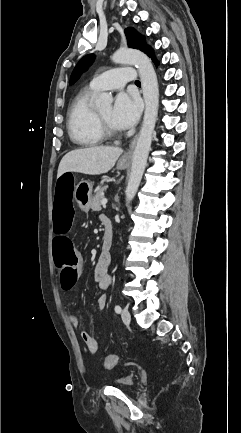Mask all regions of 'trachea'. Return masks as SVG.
Returning <instances> with one entry per match:
<instances>
[{"label":"trachea","mask_w":241,"mask_h":433,"mask_svg":"<svg viewBox=\"0 0 241 433\" xmlns=\"http://www.w3.org/2000/svg\"><path fill=\"white\" fill-rule=\"evenodd\" d=\"M137 85H140V81L139 80H136V82H135Z\"/></svg>","instance_id":"trachea-1"}]
</instances>
